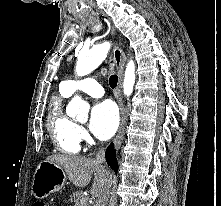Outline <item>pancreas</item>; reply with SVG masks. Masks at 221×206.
<instances>
[{"mask_svg":"<svg viewBox=\"0 0 221 206\" xmlns=\"http://www.w3.org/2000/svg\"><path fill=\"white\" fill-rule=\"evenodd\" d=\"M71 201L74 202V206H89L87 203L88 198L82 192L73 193Z\"/></svg>","mask_w":221,"mask_h":206,"instance_id":"pancreas-1","label":"pancreas"}]
</instances>
